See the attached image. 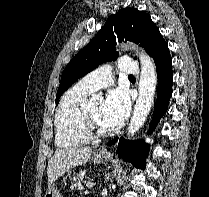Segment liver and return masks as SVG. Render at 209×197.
Returning a JSON list of instances; mask_svg holds the SVG:
<instances>
[{
	"label": "liver",
	"instance_id": "obj_1",
	"mask_svg": "<svg viewBox=\"0 0 209 197\" xmlns=\"http://www.w3.org/2000/svg\"><path fill=\"white\" fill-rule=\"evenodd\" d=\"M91 153L92 149L90 147L57 149L55 154L48 161V186L51 187L59 177L71 168L88 162Z\"/></svg>",
	"mask_w": 209,
	"mask_h": 197
}]
</instances>
